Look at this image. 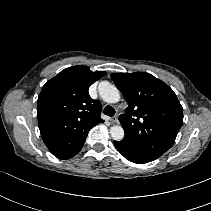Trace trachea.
Masks as SVG:
<instances>
[{
  "label": "trachea",
  "mask_w": 211,
  "mask_h": 211,
  "mask_svg": "<svg viewBox=\"0 0 211 211\" xmlns=\"http://www.w3.org/2000/svg\"><path fill=\"white\" fill-rule=\"evenodd\" d=\"M103 113H104L105 115H107V116L112 117V116H114V114H115V109H114L112 106L107 105V106L104 108Z\"/></svg>",
  "instance_id": "1"
}]
</instances>
